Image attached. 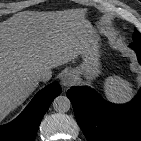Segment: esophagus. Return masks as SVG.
Listing matches in <instances>:
<instances>
[{
	"mask_svg": "<svg viewBox=\"0 0 141 141\" xmlns=\"http://www.w3.org/2000/svg\"><path fill=\"white\" fill-rule=\"evenodd\" d=\"M74 81L73 74L71 72H66L63 74L61 78V85L63 87H68L70 86Z\"/></svg>",
	"mask_w": 141,
	"mask_h": 141,
	"instance_id": "obj_1",
	"label": "esophagus"
}]
</instances>
